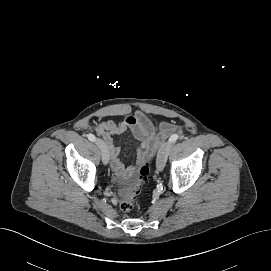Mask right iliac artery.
<instances>
[{"label":"right iliac artery","mask_w":271,"mask_h":271,"mask_svg":"<svg viewBox=\"0 0 271 271\" xmlns=\"http://www.w3.org/2000/svg\"><path fill=\"white\" fill-rule=\"evenodd\" d=\"M87 137H88V139L90 141H95L96 140V137L93 134H88Z\"/></svg>","instance_id":"obj_1"}]
</instances>
